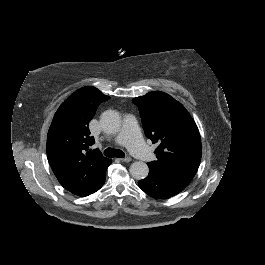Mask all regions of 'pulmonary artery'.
<instances>
[{
  "label": "pulmonary artery",
  "mask_w": 265,
  "mask_h": 265,
  "mask_svg": "<svg viewBox=\"0 0 265 265\" xmlns=\"http://www.w3.org/2000/svg\"><path fill=\"white\" fill-rule=\"evenodd\" d=\"M125 130L119 132V134H112L108 137L112 145L127 144L130 152L135 154L139 161L147 163L151 159V153L149 149L141 141L139 132V126L135 118L128 117L124 121Z\"/></svg>",
  "instance_id": "e3ab8cb5"
}]
</instances>
